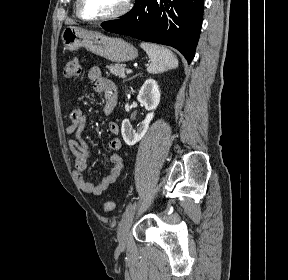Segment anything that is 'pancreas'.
<instances>
[{
    "label": "pancreas",
    "instance_id": "1",
    "mask_svg": "<svg viewBox=\"0 0 288 280\" xmlns=\"http://www.w3.org/2000/svg\"><path fill=\"white\" fill-rule=\"evenodd\" d=\"M125 64H115V65H110L107 66L108 70L110 71L111 74L119 77V78H125Z\"/></svg>",
    "mask_w": 288,
    "mask_h": 280
}]
</instances>
